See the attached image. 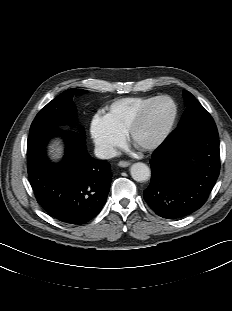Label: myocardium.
<instances>
[{"mask_svg": "<svg viewBox=\"0 0 232 311\" xmlns=\"http://www.w3.org/2000/svg\"><path fill=\"white\" fill-rule=\"evenodd\" d=\"M160 101H167L171 104L172 106V115L169 119V121L167 122V124L165 125V127L163 128V130L159 133V135L151 142H149L148 144L142 146V147H137L138 149L142 150V151H150V150H154L157 147H159L169 136V134L171 133L176 119H177V115H178V108L176 103L174 102V100L169 97V96H157L154 97L152 100H150L148 103H146L135 115V117L133 118V120L131 121V123L129 124L126 132H125V138L127 140L128 143L132 144V139H133V135L136 131V129L141 125V123L143 122V120L145 119L147 113L149 112V110L158 102ZM133 145V144H132Z\"/></svg>", "mask_w": 232, "mask_h": 311, "instance_id": "1", "label": "myocardium"}]
</instances>
